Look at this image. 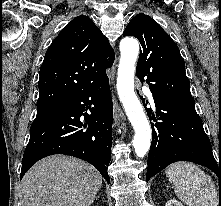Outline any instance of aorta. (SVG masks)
<instances>
[{
    "label": "aorta",
    "mask_w": 221,
    "mask_h": 206,
    "mask_svg": "<svg viewBox=\"0 0 221 206\" xmlns=\"http://www.w3.org/2000/svg\"><path fill=\"white\" fill-rule=\"evenodd\" d=\"M120 52L117 91L126 115L135 131L132 141L135 153L138 157H144L150 148L151 127L134 92L135 64L139 54L138 41L130 37L122 39Z\"/></svg>",
    "instance_id": "762f6f07"
}]
</instances>
